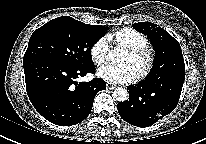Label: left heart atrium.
Instances as JSON below:
<instances>
[{"mask_svg": "<svg viewBox=\"0 0 206 144\" xmlns=\"http://www.w3.org/2000/svg\"><path fill=\"white\" fill-rule=\"evenodd\" d=\"M98 76L111 83H130L136 80L137 73L129 63L107 64L98 69Z\"/></svg>", "mask_w": 206, "mask_h": 144, "instance_id": "obj_1", "label": "left heart atrium"}]
</instances>
